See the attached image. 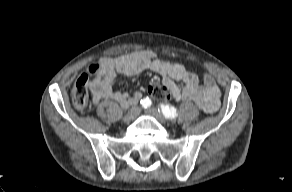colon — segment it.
Here are the masks:
<instances>
[{"label": "colon", "instance_id": "colon-1", "mask_svg": "<svg viewBox=\"0 0 292 192\" xmlns=\"http://www.w3.org/2000/svg\"><path fill=\"white\" fill-rule=\"evenodd\" d=\"M102 69V63H94L87 73L78 77L72 89V102L76 109L83 110L88 105L89 77L99 73ZM148 93L157 100H167L171 98L170 92L164 86L155 85L148 87Z\"/></svg>", "mask_w": 292, "mask_h": 192}]
</instances>
